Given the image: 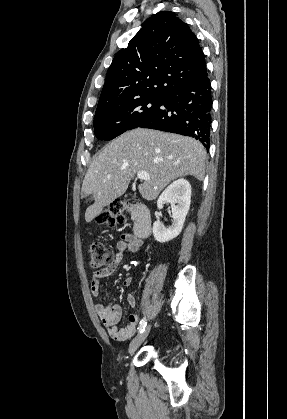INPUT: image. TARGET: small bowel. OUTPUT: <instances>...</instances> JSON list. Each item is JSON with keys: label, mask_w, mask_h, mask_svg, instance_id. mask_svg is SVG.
Here are the masks:
<instances>
[{"label": "small bowel", "mask_w": 287, "mask_h": 419, "mask_svg": "<svg viewBox=\"0 0 287 419\" xmlns=\"http://www.w3.org/2000/svg\"><path fill=\"white\" fill-rule=\"evenodd\" d=\"M142 241L131 233H125L121 240L116 245V252L112 261L103 269L95 272L91 277V293L94 296L100 294V281L101 279L110 276L120 265L123 260L125 252L137 253L141 246ZM132 283V278L127 277L123 280L124 286H129ZM128 304L133 307L136 304V297L133 294L127 296ZM95 311L100 318L102 324L106 327L108 334L111 338L117 341H125L129 339L136 331V327L139 321L137 313H132L128 317V323L123 328H118L117 323L120 321L122 316V309L116 303L104 304L97 303L95 305Z\"/></svg>", "instance_id": "small-bowel-1"}]
</instances>
